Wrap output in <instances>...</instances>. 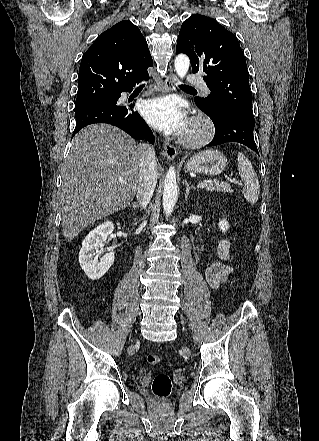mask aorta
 I'll use <instances>...</instances> for the list:
<instances>
[{
    "instance_id": "1",
    "label": "aorta",
    "mask_w": 319,
    "mask_h": 441,
    "mask_svg": "<svg viewBox=\"0 0 319 441\" xmlns=\"http://www.w3.org/2000/svg\"><path fill=\"white\" fill-rule=\"evenodd\" d=\"M175 71L182 79L189 70L190 60L186 54H178L175 58ZM177 201V180L174 166L166 174L163 191V208L166 218L172 213Z\"/></svg>"
}]
</instances>
